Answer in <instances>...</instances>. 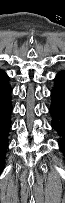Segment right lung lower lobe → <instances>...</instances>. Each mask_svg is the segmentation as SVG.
I'll return each instance as SVG.
<instances>
[{"mask_svg":"<svg viewBox=\"0 0 65 203\" xmlns=\"http://www.w3.org/2000/svg\"><path fill=\"white\" fill-rule=\"evenodd\" d=\"M8 80L6 73L0 71V173L4 168L8 134L11 127V87Z\"/></svg>","mask_w":65,"mask_h":203,"instance_id":"obj_1","label":"right lung lower lobe"}]
</instances>
